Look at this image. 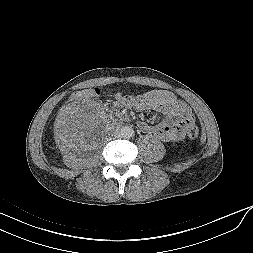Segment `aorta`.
<instances>
[{"label":"aorta","instance_id":"762f6f07","mask_svg":"<svg viewBox=\"0 0 253 253\" xmlns=\"http://www.w3.org/2000/svg\"><path fill=\"white\" fill-rule=\"evenodd\" d=\"M120 133H121L122 137L129 138V137H131L133 135L134 130L131 127H129V126H123L120 129Z\"/></svg>","mask_w":253,"mask_h":253}]
</instances>
